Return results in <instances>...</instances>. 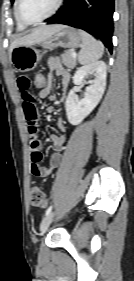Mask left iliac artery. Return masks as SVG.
<instances>
[{
	"mask_svg": "<svg viewBox=\"0 0 134 281\" xmlns=\"http://www.w3.org/2000/svg\"><path fill=\"white\" fill-rule=\"evenodd\" d=\"M52 210V205L48 207V209L45 212V216H47Z\"/></svg>",
	"mask_w": 134,
	"mask_h": 281,
	"instance_id": "44dca946",
	"label": "left iliac artery"
}]
</instances>
